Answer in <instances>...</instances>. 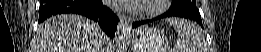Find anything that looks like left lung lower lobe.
<instances>
[{
	"label": "left lung lower lobe",
	"instance_id": "0a47b994",
	"mask_svg": "<svg viewBox=\"0 0 261 52\" xmlns=\"http://www.w3.org/2000/svg\"><path fill=\"white\" fill-rule=\"evenodd\" d=\"M184 17V18H189V19H192V20H195L199 23H201V18H198L196 16H194L193 14L189 13V12H186L184 10H169L168 12L154 18V19H151V20H142V21H137V22H134L132 24V27L133 28H136L140 25H143V24H147L149 22H152L153 20H158V19H161V18H166V17Z\"/></svg>",
	"mask_w": 261,
	"mask_h": 52
}]
</instances>
